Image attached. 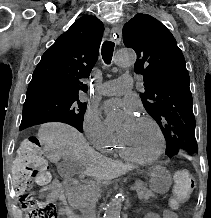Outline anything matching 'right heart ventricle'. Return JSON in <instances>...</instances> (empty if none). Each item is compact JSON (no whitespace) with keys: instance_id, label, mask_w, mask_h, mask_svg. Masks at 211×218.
I'll list each match as a JSON object with an SVG mask.
<instances>
[{"instance_id":"e07e8e85","label":"right heart ventricle","mask_w":211,"mask_h":218,"mask_svg":"<svg viewBox=\"0 0 211 218\" xmlns=\"http://www.w3.org/2000/svg\"><path fill=\"white\" fill-rule=\"evenodd\" d=\"M100 150L105 154L117 155V156L126 158L125 156L122 155L121 151L119 150L116 139H114L112 142H110L106 146L100 148Z\"/></svg>"}]
</instances>
